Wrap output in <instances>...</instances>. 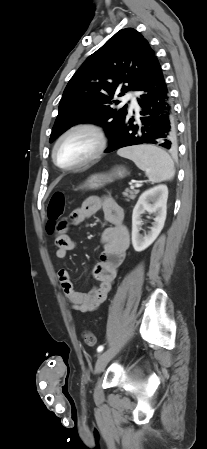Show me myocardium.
<instances>
[{
	"instance_id": "f54148a6",
	"label": "myocardium",
	"mask_w": 207,
	"mask_h": 449,
	"mask_svg": "<svg viewBox=\"0 0 207 449\" xmlns=\"http://www.w3.org/2000/svg\"><path fill=\"white\" fill-rule=\"evenodd\" d=\"M79 131H85V132H88L93 135V137L95 138V142H96L93 152L86 158H84L76 163H73L71 165H67V166L60 165L56 158V151L58 149V146L65 138H67L71 134L79 132ZM106 147H107V135H106V132L100 126L93 124V123H87V122L77 123V124H74V125L70 126L69 128H67L57 138V140L53 146V149H52V159H53L54 164L58 168H60L62 170H73V169L82 167L84 165L90 164L93 161L97 160L103 154Z\"/></svg>"
}]
</instances>
